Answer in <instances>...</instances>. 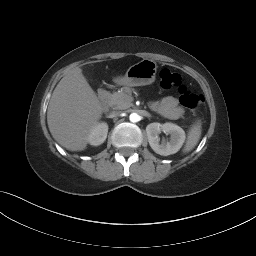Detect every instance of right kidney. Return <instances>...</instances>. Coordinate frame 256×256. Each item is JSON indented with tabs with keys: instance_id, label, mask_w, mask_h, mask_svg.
<instances>
[{
	"instance_id": "right-kidney-1",
	"label": "right kidney",
	"mask_w": 256,
	"mask_h": 256,
	"mask_svg": "<svg viewBox=\"0 0 256 256\" xmlns=\"http://www.w3.org/2000/svg\"><path fill=\"white\" fill-rule=\"evenodd\" d=\"M108 125L107 123L96 124L89 134V143L93 146L101 145L107 137Z\"/></svg>"
}]
</instances>
